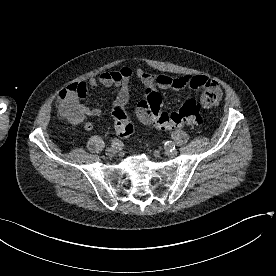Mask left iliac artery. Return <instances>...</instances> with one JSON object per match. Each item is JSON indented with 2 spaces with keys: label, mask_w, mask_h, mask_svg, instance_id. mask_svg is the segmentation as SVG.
<instances>
[{
  "label": "left iliac artery",
  "mask_w": 276,
  "mask_h": 276,
  "mask_svg": "<svg viewBox=\"0 0 276 276\" xmlns=\"http://www.w3.org/2000/svg\"><path fill=\"white\" fill-rule=\"evenodd\" d=\"M165 148L175 149V143L173 141H167V142H165Z\"/></svg>",
  "instance_id": "obj_1"
}]
</instances>
